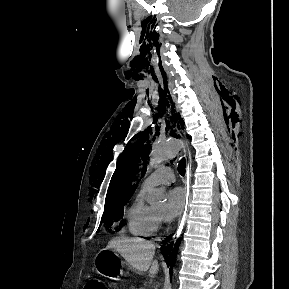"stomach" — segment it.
<instances>
[{"label":"stomach","mask_w":289,"mask_h":289,"mask_svg":"<svg viewBox=\"0 0 289 289\" xmlns=\"http://www.w3.org/2000/svg\"><path fill=\"white\" fill-rule=\"evenodd\" d=\"M95 270L98 274L110 278L117 279L122 275L119 255L113 249H103L95 257Z\"/></svg>","instance_id":"stomach-1"}]
</instances>
